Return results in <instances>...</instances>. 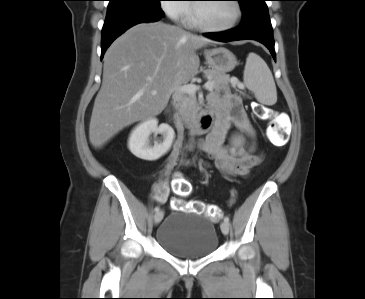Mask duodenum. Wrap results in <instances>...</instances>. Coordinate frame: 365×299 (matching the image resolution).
<instances>
[{
  "instance_id": "1",
  "label": "duodenum",
  "mask_w": 365,
  "mask_h": 299,
  "mask_svg": "<svg viewBox=\"0 0 365 299\" xmlns=\"http://www.w3.org/2000/svg\"><path fill=\"white\" fill-rule=\"evenodd\" d=\"M213 126L212 115L208 112H202L198 119L192 124L191 132L193 134H202L209 131ZM179 131H183V127L178 126Z\"/></svg>"
}]
</instances>
